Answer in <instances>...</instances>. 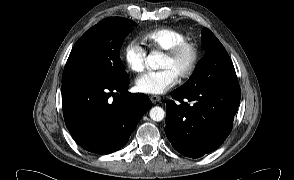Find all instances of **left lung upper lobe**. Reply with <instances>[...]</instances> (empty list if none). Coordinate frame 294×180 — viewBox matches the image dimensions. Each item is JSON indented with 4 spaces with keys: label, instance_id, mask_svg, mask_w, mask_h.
Masks as SVG:
<instances>
[{
    "label": "left lung upper lobe",
    "instance_id": "obj_1",
    "mask_svg": "<svg viewBox=\"0 0 294 180\" xmlns=\"http://www.w3.org/2000/svg\"><path fill=\"white\" fill-rule=\"evenodd\" d=\"M202 46L206 51L196 71L182 85L183 90H197L213 86L239 87L233 63L224 46L207 28L202 29Z\"/></svg>",
    "mask_w": 294,
    "mask_h": 180
}]
</instances>
